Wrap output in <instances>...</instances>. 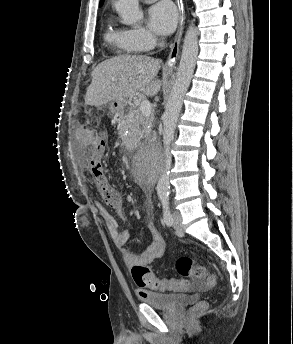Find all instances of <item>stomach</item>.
I'll return each instance as SVG.
<instances>
[{
    "label": "stomach",
    "instance_id": "1",
    "mask_svg": "<svg viewBox=\"0 0 293 344\" xmlns=\"http://www.w3.org/2000/svg\"><path fill=\"white\" fill-rule=\"evenodd\" d=\"M127 106L128 102L125 100H114L109 103L110 110L119 115L124 113Z\"/></svg>",
    "mask_w": 293,
    "mask_h": 344
}]
</instances>
